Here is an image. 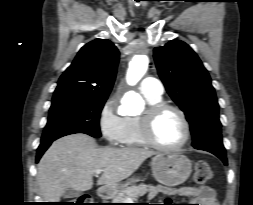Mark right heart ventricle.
<instances>
[{"label":"right heart ventricle","mask_w":253,"mask_h":205,"mask_svg":"<svg viewBox=\"0 0 253 205\" xmlns=\"http://www.w3.org/2000/svg\"><path fill=\"white\" fill-rule=\"evenodd\" d=\"M149 106L161 103L162 96H153L144 94ZM121 144L125 147H146L148 146L143 140L140 128V116L124 117V132Z\"/></svg>","instance_id":"1"}]
</instances>
